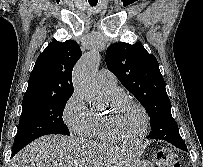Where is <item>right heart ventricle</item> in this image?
Here are the masks:
<instances>
[{
    "instance_id": "e07e8e85",
    "label": "right heart ventricle",
    "mask_w": 203,
    "mask_h": 167,
    "mask_svg": "<svg viewBox=\"0 0 203 167\" xmlns=\"http://www.w3.org/2000/svg\"><path fill=\"white\" fill-rule=\"evenodd\" d=\"M103 91L107 96H109L110 94L117 92L119 90L117 88H111V89H103ZM83 136L92 139L108 140L102 131L100 114L96 112H91L90 121Z\"/></svg>"
}]
</instances>
